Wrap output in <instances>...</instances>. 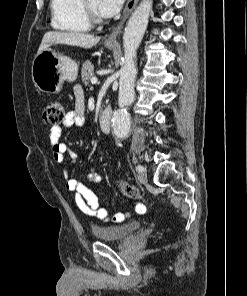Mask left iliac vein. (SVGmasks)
Returning <instances> with one entry per match:
<instances>
[{"mask_svg": "<svg viewBox=\"0 0 247 296\" xmlns=\"http://www.w3.org/2000/svg\"><path fill=\"white\" fill-rule=\"evenodd\" d=\"M138 179L141 183L145 184L147 182L146 169L143 167V171L138 174Z\"/></svg>", "mask_w": 247, "mask_h": 296, "instance_id": "obj_1", "label": "left iliac vein"}]
</instances>
